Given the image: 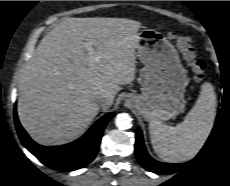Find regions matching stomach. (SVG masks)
<instances>
[{"label": "stomach", "mask_w": 230, "mask_h": 186, "mask_svg": "<svg viewBox=\"0 0 230 186\" xmlns=\"http://www.w3.org/2000/svg\"><path fill=\"white\" fill-rule=\"evenodd\" d=\"M138 36L137 53L144 65L139 75L142 94H127L125 101L148 121L169 120L184 108L187 72L162 33L144 29Z\"/></svg>", "instance_id": "1"}]
</instances>
